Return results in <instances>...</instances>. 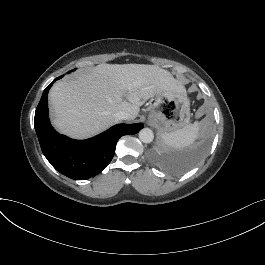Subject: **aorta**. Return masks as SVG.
Instances as JSON below:
<instances>
[{"label": "aorta", "mask_w": 265, "mask_h": 265, "mask_svg": "<svg viewBox=\"0 0 265 265\" xmlns=\"http://www.w3.org/2000/svg\"><path fill=\"white\" fill-rule=\"evenodd\" d=\"M139 139L143 143H151L153 141V139H154L153 131L150 128H143L139 132Z\"/></svg>", "instance_id": "obj_1"}]
</instances>
